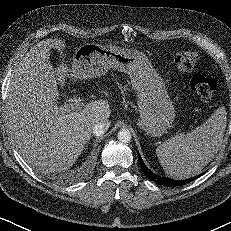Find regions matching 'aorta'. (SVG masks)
Listing matches in <instances>:
<instances>
[{
    "instance_id": "762f6f07",
    "label": "aorta",
    "mask_w": 231,
    "mask_h": 231,
    "mask_svg": "<svg viewBox=\"0 0 231 231\" xmlns=\"http://www.w3.org/2000/svg\"><path fill=\"white\" fill-rule=\"evenodd\" d=\"M131 138V133L128 130L122 129L118 132V140L122 143L130 142Z\"/></svg>"
}]
</instances>
